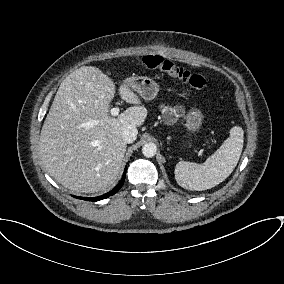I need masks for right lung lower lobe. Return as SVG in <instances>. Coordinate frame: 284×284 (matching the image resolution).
Wrapping results in <instances>:
<instances>
[{
	"instance_id": "obj_1",
	"label": "right lung lower lobe",
	"mask_w": 284,
	"mask_h": 284,
	"mask_svg": "<svg viewBox=\"0 0 284 284\" xmlns=\"http://www.w3.org/2000/svg\"><path fill=\"white\" fill-rule=\"evenodd\" d=\"M125 176H126V170L124 171V174L122 176V179L120 180V182L117 184V186L111 190L110 192L104 194V195H101V196H98V197H93V198H88V197H76L74 196L75 198H78V199H83V200H87V201H98V200H102V199H105L109 196H112L114 195L124 184V181H125Z\"/></svg>"
}]
</instances>
